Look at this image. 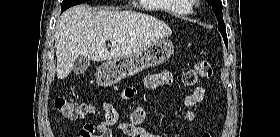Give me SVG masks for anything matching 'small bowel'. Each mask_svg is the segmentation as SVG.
Listing matches in <instances>:
<instances>
[{"label":"small bowel","instance_id":"1","mask_svg":"<svg viewBox=\"0 0 280 137\" xmlns=\"http://www.w3.org/2000/svg\"><path fill=\"white\" fill-rule=\"evenodd\" d=\"M173 83V76L167 71L149 74L144 79L145 87L155 89L169 87ZM130 96L135 94L134 88L127 89ZM206 90L202 86L196 87L190 94L184 97L183 104L187 110L181 114L184 121H192L195 116V108L205 99ZM149 104L136 107L130 115L129 123H119V115L114 107L108 103L103 105L105 120L99 123L87 122L79 131V137H114L115 131L123 133L127 137H155L143 126Z\"/></svg>","mask_w":280,"mask_h":137}]
</instances>
